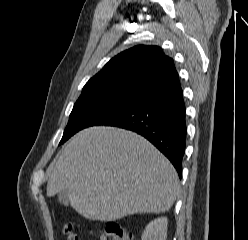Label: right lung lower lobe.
Instances as JSON below:
<instances>
[{
  "instance_id": "98d812e1",
  "label": "right lung lower lobe",
  "mask_w": 248,
  "mask_h": 240,
  "mask_svg": "<svg viewBox=\"0 0 248 240\" xmlns=\"http://www.w3.org/2000/svg\"><path fill=\"white\" fill-rule=\"evenodd\" d=\"M182 93L178 86L139 99L95 125L120 127L144 136L171 161L181 178L187 135Z\"/></svg>"
}]
</instances>
